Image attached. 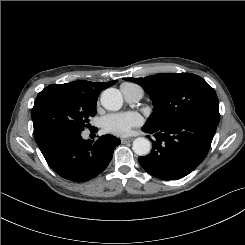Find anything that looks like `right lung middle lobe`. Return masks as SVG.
Wrapping results in <instances>:
<instances>
[{
    "label": "right lung middle lobe",
    "instance_id": "obj_1",
    "mask_svg": "<svg viewBox=\"0 0 245 245\" xmlns=\"http://www.w3.org/2000/svg\"><path fill=\"white\" fill-rule=\"evenodd\" d=\"M97 98L64 84H51L37 96L31 110L37 144L57 132H82L96 114Z\"/></svg>",
    "mask_w": 245,
    "mask_h": 245
}]
</instances>
